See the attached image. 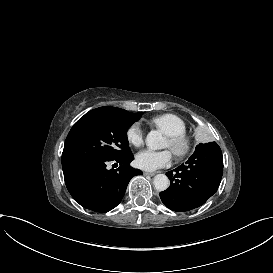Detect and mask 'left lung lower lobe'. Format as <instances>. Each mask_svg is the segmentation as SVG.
I'll return each instance as SVG.
<instances>
[{
	"mask_svg": "<svg viewBox=\"0 0 273 273\" xmlns=\"http://www.w3.org/2000/svg\"><path fill=\"white\" fill-rule=\"evenodd\" d=\"M222 174V151L218 144H199L185 164L166 173L171 184L167 190L160 192V198L173 211L198 208L215 194Z\"/></svg>",
	"mask_w": 273,
	"mask_h": 273,
	"instance_id": "obj_1",
	"label": "left lung lower lobe"
}]
</instances>
